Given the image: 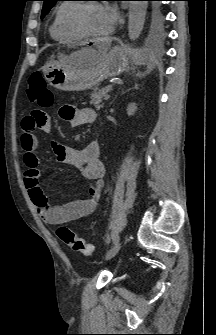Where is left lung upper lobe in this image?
<instances>
[{"mask_svg":"<svg viewBox=\"0 0 216 335\" xmlns=\"http://www.w3.org/2000/svg\"><path fill=\"white\" fill-rule=\"evenodd\" d=\"M44 2L43 9L41 13V18H44V16L50 11V9L55 5V3L59 0H41ZM151 1V3L148 6V23L150 30L154 34H161L163 29V14L161 12L160 5L158 1L161 0H147Z\"/></svg>","mask_w":216,"mask_h":335,"instance_id":"left-lung-upper-lobe-1","label":"left lung upper lobe"}]
</instances>
